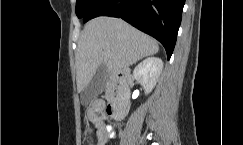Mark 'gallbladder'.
Wrapping results in <instances>:
<instances>
[{"mask_svg": "<svg viewBox=\"0 0 243 145\" xmlns=\"http://www.w3.org/2000/svg\"><path fill=\"white\" fill-rule=\"evenodd\" d=\"M108 79L109 72L106 66L101 64L81 93L82 104L87 105L92 99L100 95L104 91Z\"/></svg>", "mask_w": 243, "mask_h": 145, "instance_id": "gallbladder-1", "label": "gallbladder"}]
</instances>
